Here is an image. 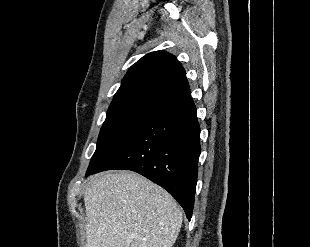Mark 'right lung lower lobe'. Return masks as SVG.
Listing matches in <instances>:
<instances>
[{"mask_svg":"<svg viewBox=\"0 0 310 247\" xmlns=\"http://www.w3.org/2000/svg\"><path fill=\"white\" fill-rule=\"evenodd\" d=\"M199 137L197 111L190 96L150 118L86 176L111 169L135 171L166 189L190 220L201 152Z\"/></svg>","mask_w":310,"mask_h":247,"instance_id":"1","label":"right lung lower lobe"}]
</instances>
